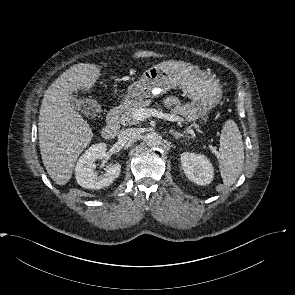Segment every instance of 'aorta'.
Listing matches in <instances>:
<instances>
[{
	"label": "aorta",
	"instance_id": "aorta-1",
	"mask_svg": "<svg viewBox=\"0 0 295 295\" xmlns=\"http://www.w3.org/2000/svg\"><path fill=\"white\" fill-rule=\"evenodd\" d=\"M145 141H146L148 146L155 147V146H158L161 143L162 138L156 132H150V133H148L146 135Z\"/></svg>",
	"mask_w": 295,
	"mask_h": 295
}]
</instances>
